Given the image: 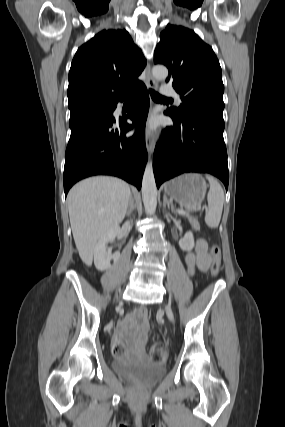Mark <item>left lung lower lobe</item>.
I'll return each mask as SVG.
<instances>
[{"label":"left lung lower lobe","instance_id":"obj_1","mask_svg":"<svg viewBox=\"0 0 285 427\" xmlns=\"http://www.w3.org/2000/svg\"><path fill=\"white\" fill-rule=\"evenodd\" d=\"M166 127L164 138L154 152L153 168L156 185L189 172L209 173L221 179L228 189V163L223 139V117L198 113L177 119Z\"/></svg>","mask_w":285,"mask_h":427}]
</instances>
